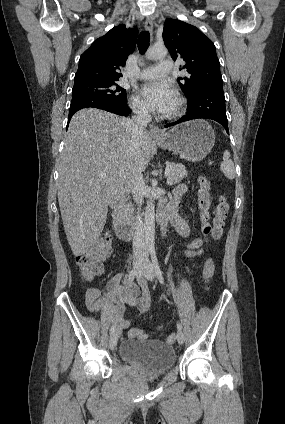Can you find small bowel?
<instances>
[{"label":"small bowel","instance_id":"obj_1","mask_svg":"<svg viewBox=\"0 0 285 424\" xmlns=\"http://www.w3.org/2000/svg\"><path fill=\"white\" fill-rule=\"evenodd\" d=\"M186 193L187 187L185 185L177 186L174 190L171 204L164 213L168 222L174 225L178 233L183 237L191 236L193 231L187 219L175 210V205L179 198ZM201 254L202 240L199 237L186 244L181 251V255L190 263H192ZM121 280L124 281L126 289L120 286ZM138 284L139 286H136L133 283L127 284L126 276L117 275L109 281L107 288L111 292L112 296L117 298L118 304L114 305L110 300L111 296L102 294L101 290L97 288H90L86 292V307L90 311H98L102 309L109 312L117 326V331L120 333L130 325V321L123 317L125 305L137 308L141 314L147 313L150 309V292L148 282L145 278L140 277L138 279ZM160 328L161 324L157 326V329Z\"/></svg>","mask_w":285,"mask_h":424}]
</instances>
